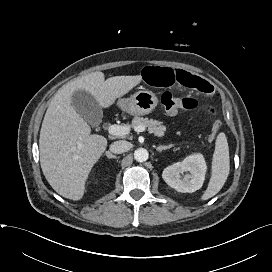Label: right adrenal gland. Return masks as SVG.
<instances>
[{
  "label": "right adrenal gland",
  "instance_id": "2a0ac1e0",
  "mask_svg": "<svg viewBox=\"0 0 272 272\" xmlns=\"http://www.w3.org/2000/svg\"><path fill=\"white\" fill-rule=\"evenodd\" d=\"M105 155L108 157V158H116V156L115 155H113L111 152H109V151H106L105 152Z\"/></svg>",
  "mask_w": 272,
  "mask_h": 272
}]
</instances>
